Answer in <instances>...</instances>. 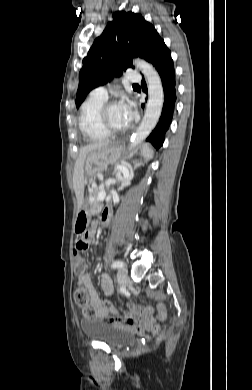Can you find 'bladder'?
Returning <instances> with one entry per match:
<instances>
[{
  "label": "bladder",
  "instance_id": "1",
  "mask_svg": "<svg viewBox=\"0 0 252 390\" xmlns=\"http://www.w3.org/2000/svg\"><path fill=\"white\" fill-rule=\"evenodd\" d=\"M81 326L89 338L113 348L124 347L134 341L129 331L98 320L84 321Z\"/></svg>",
  "mask_w": 252,
  "mask_h": 390
}]
</instances>
